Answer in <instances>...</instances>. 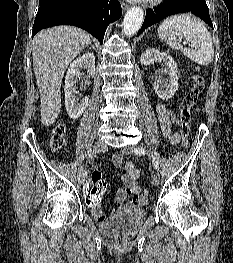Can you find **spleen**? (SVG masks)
Instances as JSON below:
<instances>
[{
    "mask_svg": "<svg viewBox=\"0 0 233 263\" xmlns=\"http://www.w3.org/2000/svg\"><path fill=\"white\" fill-rule=\"evenodd\" d=\"M158 36L172 49L180 50L190 60L200 65H208L214 58V46L210 33L204 24L190 13L166 18L158 28ZM175 36L183 37L191 44L183 47Z\"/></svg>",
    "mask_w": 233,
    "mask_h": 263,
    "instance_id": "1",
    "label": "spleen"
}]
</instances>
